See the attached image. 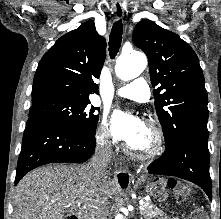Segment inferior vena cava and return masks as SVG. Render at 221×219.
<instances>
[{"instance_id": "602c4592", "label": "inferior vena cava", "mask_w": 221, "mask_h": 219, "mask_svg": "<svg viewBox=\"0 0 221 219\" xmlns=\"http://www.w3.org/2000/svg\"><path fill=\"white\" fill-rule=\"evenodd\" d=\"M112 153L113 150L111 142L106 139H99L95 149V154L89 163V167L95 176L99 178L106 177V168L111 160ZM96 214L97 218H101L100 213Z\"/></svg>"}]
</instances>
